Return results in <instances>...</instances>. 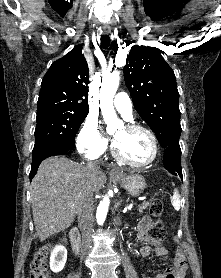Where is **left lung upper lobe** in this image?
I'll list each match as a JSON object with an SVG mask.
<instances>
[{
    "label": "left lung upper lobe",
    "instance_id": "left-lung-upper-lobe-1",
    "mask_svg": "<svg viewBox=\"0 0 221 278\" xmlns=\"http://www.w3.org/2000/svg\"><path fill=\"white\" fill-rule=\"evenodd\" d=\"M160 53L134 45L123 70L134 108L166 148L179 145V94L175 74Z\"/></svg>",
    "mask_w": 221,
    "mask_h": 278
}]
</instances>
